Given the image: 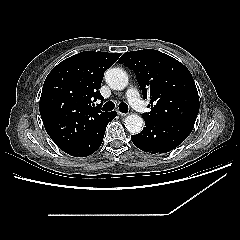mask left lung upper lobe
<instances>
[{"instance_id": "5c2ea615", "label": "left lung upper lobe", "mask_w": 240, "mask_h": 240, "mask_svg": "<svg viewBox=\"0 0 240 240\" xmlns=\"http://www.w3.org/2000/svg\"><path fill=\"white\" fill-rule=\"evenodd\" d=\"M119 61L130 67L150 97L151 111L143 119L152 121L196 120L199 97L189 70L173 57L153 49L125 53Z\"/></svg>"}]
</instances>
